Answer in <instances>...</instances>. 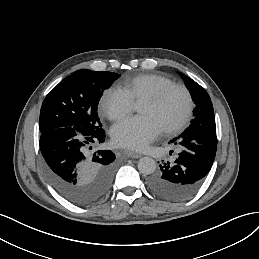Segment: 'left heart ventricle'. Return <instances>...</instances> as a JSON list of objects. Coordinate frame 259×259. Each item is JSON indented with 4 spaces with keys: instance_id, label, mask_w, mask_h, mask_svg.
<instances>
[{
    "instance_id": "1",
    "label": "left heart ventricle",
    "mask_w": 259,
    "mask_h": 259,
    "mask_svg": "<svg viewBox=\"0 0 259 259\" xmlns=\"http://www.w3.org/2000/svg\"><path fill=\"white\" fill-rule=\"evenodd\" d=\"M184 111L185 97L183 93L175 91L159 105L141 102L137 113L151 118L163 130L174 125L182 117Z\"/></svg>"
}]
</instances>
